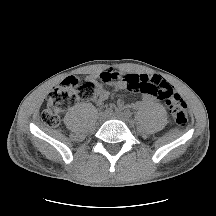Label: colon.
Listing matches in <instances>:
<instances>
[{"instance_id":"5ec220e1","label":"colon","mask_w":216,"mask_h":216,"mask_svg":"<svg viewBox=\"0 0 216 216\" xmlns=\"http://www.w3.org/2000/svg\"><path fill=\"white\" fill-rule=\"evenodd\" d=\"M131 89L150 92L163 99L170 114L180 129H185L188 122V108L183 98L167 82L147 84L133 81ZM97 83L93 79L78 76L67 77L61 85L49 94L42 112V121L50 126L57 125L60 115L76 105L80 100H87L94 96Z\"/></svg>"}]
</instances>
